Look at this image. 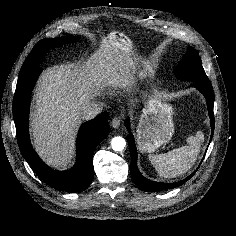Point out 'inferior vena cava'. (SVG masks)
I'll list each match as a JSON object with an SVG mask.
<instances>
[{"instance_id":"1","label":"inferior vena cava","mask_w":236,"mask_h":236,"mask_svg":"<svg viewBox=\"0 0 236 236\" xmlns=\"http://www.w3.org/2000/svg\"><path fill=\"white\" fill-rule=\"evenodd\" d=\"M104 104L100 101H92L82 108V118L90 120L98 116L103 110Z\"/></svg>"}]
</instances>
